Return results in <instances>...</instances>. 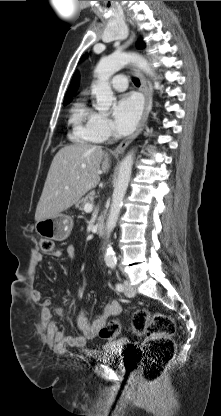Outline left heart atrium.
Here are the masks:
<instances>
[{
    "instance_id": "obj_1",
    "label": "left heart atrium",
    "mask_w": 221,
    "mask_h": 416,
    "mask_svg": "<svg viewBox=\"0 0 221 416\" xmlns=\"http://www.w3.org/2000/svg\"><path fill=\"white\" fill-rule=\"evenodd\" d=\"M142 113V102L133 93L125 94L116 102L113 110L115 127L121 134L134 130Z\"/></svg>"
}]
</instances>
